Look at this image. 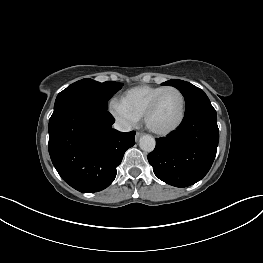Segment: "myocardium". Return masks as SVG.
<instances>
[{
	"label": "myocardium",
	"instance_id": "obj_1",
	"mask_svg": "<svg viewBox=\"0 0 263 263\" xmlns=\"http://www.w3.org/2000/svg\"><path fill=\"white\" fill-rule=\"evenodd\" d=\"M170 90H174L177 91L180 96H181V100H182V110H181V114L179 119L170 127L165 128V129H155L153 128L150 123H149V118L151 116V114L153 113V111L155 110L158 102L160 101L161 97L168 91ZM186 110H187V102H186V97L185 94L183 93V91L181 89H179L178 87L175 86H168L165 87L162 91H160L152 100L151 102L148 104L144 114H143V120L145 123V126L154 134L160 135V136H165L168 135L172 132H174L175 130H177L180 125L183 123L185 116H186Z\"/></svg>",
	"mask_w": 263,
	"mask_h": 263
}]
</instances>
